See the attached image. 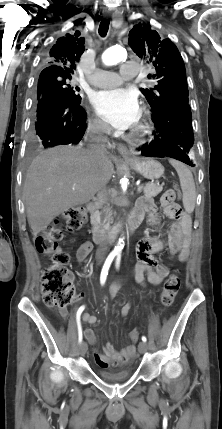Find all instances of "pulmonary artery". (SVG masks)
Returning a JSON list of instances; mask_svg holds the SVG:
<instances>
[{
	"instance_id": "pulmonary-artery-1",
	"label": "pulmonary artery",
	"mask_w": 222,
	"mask_h": 429,
	"mask_svg": "<svg viewBox=\"0 0 222 429\" xmlns=\"http://www.w3.org/2000/svg\"><path fill=\"white\" fill-rule=\"evenodd\" d=\"M138 72V64L127 61L121 64L119 73L97 69L94 76L89 78V82L99 88L114 87L123 80H129L137 76Z\"/></svg>"
}]
</instances>
